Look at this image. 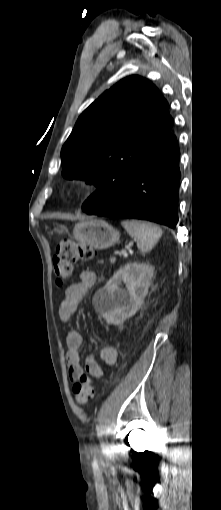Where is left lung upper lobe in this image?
<instances>
[{"mask_svg":"<svg viewBox=\"0 0 221 510\" xmlns=\"http://www.w3.org/2000/svg\"><path fill=\"white\" fill-rule=\"evenodd\" d=\"M172 126L158 89L147 79L129 76L80 115L61 150L62 175L94 183L97 190L85 202L101 209L151 154L176 141Z\"/></svg>","mask_w":221,"mask_h":510,"instance_id":"obj_1","label":"left lung upper lobe"}]
</instances>
